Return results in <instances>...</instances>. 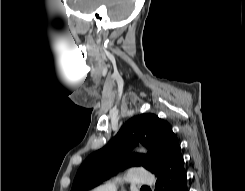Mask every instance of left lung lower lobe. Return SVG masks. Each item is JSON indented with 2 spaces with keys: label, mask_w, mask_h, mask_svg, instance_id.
I'll return each instance as SVG.
<instances>
[{
  "label": "left lung lower lobe",
  "mask_w": 245,
  "mask_h": 191,
  "mask_svg": "<svg viewBox=\"0 0 245 191\" xmlns=\"http://www.w3.org/2000/svg\"><path fill=\"white\" fill-rule=\"evenodd\" d=\"M154 174L157 176L155 191H188L187 175L180 148L171 160Z\"/></svg>",
  "instance_id": "obj_1"
}]
</instances>
